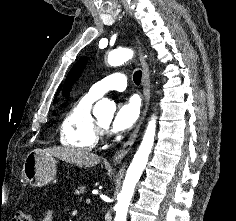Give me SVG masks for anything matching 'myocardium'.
I'll use <instances>...</instances> for the list:
<instances>
[{
    "instance_id": "myocardium-1",
    "label": "myocardium",
    "mask_w": 236,
    "mask_h": 221,
    "mask_svg": "<svg viewBox=\"0 0 236 221\" xmlns=\"http://www.w3.org/2000/svg\"><path fill=\"white\" fill-rule=\"evenodd\" d=\"M95 125H96V129H97V132L98 134H103L106 127L103 126L98 120L95 119Z\"/></svg>"
}]
</instances>
